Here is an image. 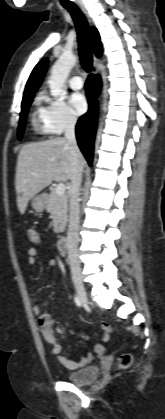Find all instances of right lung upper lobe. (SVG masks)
<instances>
[{"instance_id": "1", "label": "right lung upper lobe", "mask_w": 165, "mask_h": 419, "mask_svg": "<svg viewBox=\"0 0 165 419\" xmlns=\"http://www.w3.org/2000/svg\"><path fill=\"white\" fill-rule=\"evenodd\" d=\"M92 32V42H93V48L94 52L97 57H100L102 54V47H101V41L100 36L95 27L91 28ZM48 66V60L43 59L41 60L33 69L23 94V100L29 98L30 96H34L35 92L39 88L40 84L42 83L43 77L45 75L46 69ZM22 100V101H23Z\"/></svg>"}]
</instances>
